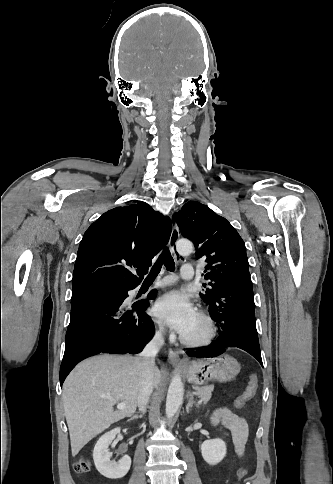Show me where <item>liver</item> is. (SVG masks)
I'll list each match as a JSON object with an SVG mask.
<instances>
[{
  "mask_svg": "<svg viewBox=\"0 0 333 484\" xmlns=\"http://www.w3.org/2000/svg\"><path fill=\"white\" fill-rule=\"evenodd\" d=\"M160 382L161 373L155 366L153 385L157 386ZM62 390L71 451L75 457L111 424L135 413L139 392L136 358L111 355L89 358L73 369ZM116 403H124L126 408L115 411Z\"/></svg>",
  "mask_w": 333,
  "mask_h": 484,
  "instance_id": "1",
  "label": "liver"
}]
</instances>
